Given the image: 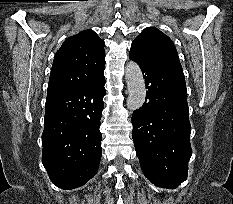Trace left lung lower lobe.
<instances>
[{
    "mask_svg": "<svg viewBox=\"0 0 233 204\" xmlns=\"http://www.w3.org/2000/svg\"><path fill=\"white\" fill-rule=\"evenodd\" d=\"M129 58L140 66L148 89L143 106L131 119L141 169L155 185L175 188L186 180L192 154L183 71L133 52Z\"/></svg>",
    "mask_w": 233,
    "mask_h": 204,
    "instance_id": "0a47b994",
    "label": "left lung lower lobe"
}]
</instances>
